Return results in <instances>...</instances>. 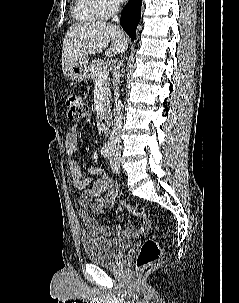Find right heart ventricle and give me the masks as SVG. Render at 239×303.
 <instances>
[{
  "label": "right heart ventricle",
  "mask_w": 239,
  "mask_h": 303,
  "mask_svg": "<svg viewBox=\"0 0 239 303\" xmlns=\"http://www.w3.org/2000/svg\"><path fill=\"white\" fill-rule=\"evenodd\" d=\"M73 14L76 18L83 21H94L101 19L94 14L89 0H73Z\"/></svg>",
  "instance_id": "right-heart-ventricle-1"
}]
</instances>
